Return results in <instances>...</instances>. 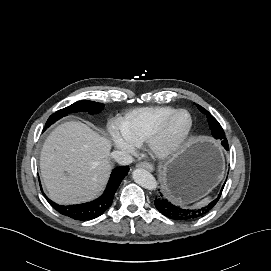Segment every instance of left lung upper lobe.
I'll list each match as a JSON object with an SVG mask.
<instances>
[{"mask_svg":"<svg viewBox=\"0 0 271 271\" xmlns=\"http://www.w3.org/2000/svg\"><path fill=\"white\" fill-rule=\"evenodd\" d=\"M197 107L201 112H203L204 114L207 115V120H208L209 126L212 130V135L214 136V138L220 139V140L224 139L225 133H224L221 125L219 124V122L203 107H201L200 105H197Z\"/></svg>","mask_w":271,"mask_h":271,"instance_id":"1","label":"left lung upper lobe"}]
</instances>
